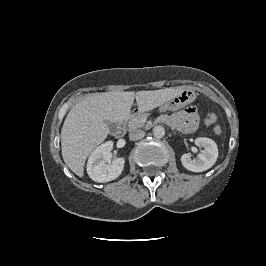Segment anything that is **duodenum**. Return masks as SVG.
<instances>
[{
    "instance_id": "410a0bca",
    "label": "duodenum",
    "mask_w": 266,
    "mask_h": 266,
    "mask_svg": "<svg viewBox=\"0 0 266 266\" xmlns=\"http://www.w3.org/2000/svg\"><path fill=\"white\" fill-rule=\"evenodd\" d=\"M123 133H124V126H123L122 123H120V124L117 126L116 130H115V135H116L117 137H121V136L123 135Z\"/></svg>"
}]
</instances>
